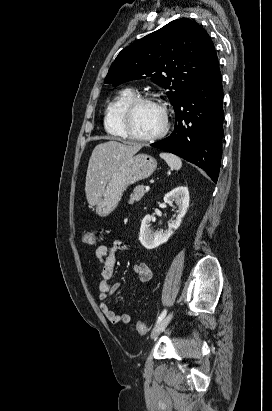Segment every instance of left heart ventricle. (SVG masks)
<instances>
[{
  "label": "left heart ventricle",
  "mask_w": 272,
  "mask_h": 411,
  "mask_svg": "<svg viewBox=\"0 0 272 411\" xmlns=\"http://www.w3.org/2000/svg\"><path fill=\"white\" fill-rule=\"evenodd\" d=\"M162 124V111L156 104L142 103L134 109L131 127L137 135H153L161 129Z\"/></svg>",
  "instance_id": "left-heart-ventricle-1"
}]
</instances>
